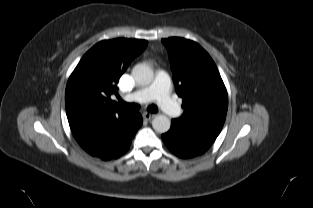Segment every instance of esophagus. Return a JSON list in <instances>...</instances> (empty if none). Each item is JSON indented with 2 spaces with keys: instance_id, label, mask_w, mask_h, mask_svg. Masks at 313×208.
<instances>
[{
  "instance_id": "esophagus-1",
  "label": "esophagus",
  "mask_w": 313,
  "mask_h": 208,
  "mask_svg": "<svg viewBox=\"0 0 313 208\" xmlns=\"http://www.w3.org/2000/svg\"><path fill=\"white\" fill-rule=\"evenodd\" d=\"M155 117V114H152V113H148V112H144L143 113V118L146 119V120H151Z\"/></svg>"
}]
</instances>
